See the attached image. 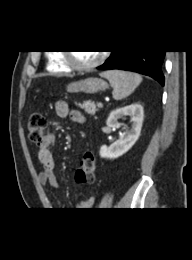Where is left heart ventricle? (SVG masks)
<instances>
[{"label": "left heart ventricle", "mask_w": 192, "mask_h": 260, "mask_svg": "<svg viewBox=\"0 0 192 260\" xmlns=\"http://www.w3.org/2000/svg\"><path fill=\"white\" fill-rule=\"evenodd\" d=\"M99 57V52L95 51H78L73 53L74 60L81 65L94 62Z\"/></svg>", "instance_id": "1"}]
</instances>
